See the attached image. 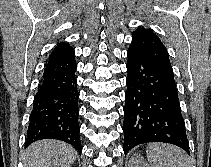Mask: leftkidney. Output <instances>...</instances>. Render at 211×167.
Segmentation results:
<instances>
[{"mask_svg":"<svg viewBox=\"0 0 211 167\" xmlns=\"http://www.w3.org/2000/svg\"><path fill=\"white\" fill-rule=\"evenodd\" d=\"M128 167H149L144 158L140 154H134L130 160Z\"/></svg>","mask_w":211,"mask_h":167,"instance_id":"left-kidney-1","label":"left kidney"}]
</instances>
